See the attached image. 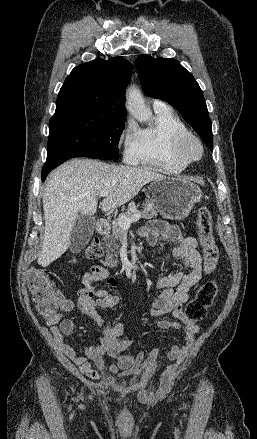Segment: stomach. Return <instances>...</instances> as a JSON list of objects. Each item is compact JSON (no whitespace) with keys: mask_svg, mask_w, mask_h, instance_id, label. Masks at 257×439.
I'll return each mask as SVG.
<instances>
[{"mask_svg":"<svg viewBox=\"0 0 257 439\" xmlns=\"http://www.w3.org/2000/svg\"><path fill=\"white\" fill-rule=\"evenodd\" d=\"M149 193L166 218L184 219L201 200L199 186L184 177H164L152 181Z\"/></svg>","mask_w":257,"mask_h":439,"instance_id":"1","label":"stomach"}]
</instances>
